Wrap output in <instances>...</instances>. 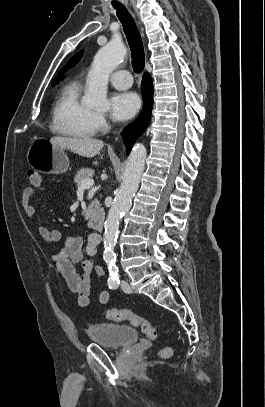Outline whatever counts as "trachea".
I'll return each instance as SVG.
<instances>
[{"label":"trachea","instance_id":"obj_1","mask_svg":"<svg viewBox=\"0 0 265 407\" xmlns=\"http://www.w3.org/2000/svg\"><path fill=\"white\" fill-rule=\"evenodd\" d=\"M114 8L117 10V16L122 23L124 32L129 42L133 69L136 73H140L145 64L144 47L140 33L134 19L124 6H116Z\"/></svg>","mask_w":265,"mask_h":407}]
</instances>
